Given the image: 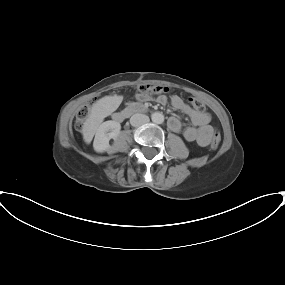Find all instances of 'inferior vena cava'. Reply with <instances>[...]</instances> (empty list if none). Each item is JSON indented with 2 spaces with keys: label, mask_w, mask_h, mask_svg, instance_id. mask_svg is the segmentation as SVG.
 Returning <instances> with one entry per match:
<instances>
[{
  "label": "inferior vena cava",
  "mask_w": 285,
  "mask_h": 285,
  "mask_svg": "<svg viewBox=\"0 0 285 285\" xmlns=\"http://www.w3.org/2000/svg\"><path fill=\"white\" fill-rule=\"evenodd\" d=\"M150 121L149 117L144 115V114H134L131 118H130V123L132 126L134 127H139L141 125H144L146 123H148Z\"/></svg>",
  "instance_id": "inferior-vena-cava-1"
}]
</instances>
